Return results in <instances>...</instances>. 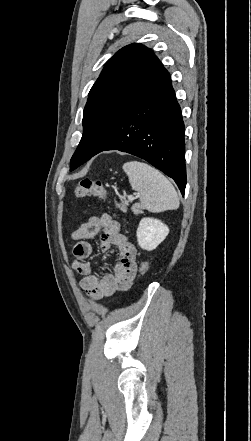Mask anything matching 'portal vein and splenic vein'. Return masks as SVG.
<instances>
[{"mask_svg": "<svg viewBox=\"0 0 251 441\" xmlns=\"http://www.w3.org/2000/svg\"><path fill=\"white\" fill-rule=\"evenodd\" d=\"M128 199H134V197L132 195H129Z\"/></svg>", "mask_w": 251, "mask_h": 441, "instance_id": "portal-vein-and-splenic-vein-1", "label": "portal vein and splenic vein"}]
</instances>
